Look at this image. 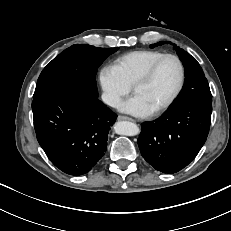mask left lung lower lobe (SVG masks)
Listing matches in <instances>:
<instances>
[{"mask_svg":"<svg viewBox=\"0 0 231 231\" xmlns=\"http://www.w3.org/2000/svg\"><path fill=\"white\" fill-rule=\"evenodd\" d=\"M211 113V104L191 102L170 106L158 119L144 122L138 138L142 156L160 172L180 171L204 145Z\"/></svg>","mask_w":231,"mask_h":231,"instance_id":"obj_1","label":"left lung lower lobe"}]
</instances>
